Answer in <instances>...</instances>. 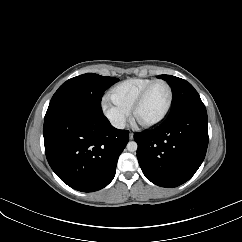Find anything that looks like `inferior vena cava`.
Listing matches in <instances>:
<instances>
[{
	"instance_id": "obj_1",
	"label": "inferior vena cava",
	"mask_w": 242,
	"mask_h": 242,
	"mask_svg": "<svg viewBox=\"0 0 242 242\" xmlns=\"http://www.w3.org/2000/svg\"><path fill=\"white\" fill-rule=\"evenodd\" d=\"M112 125L117 128V129H124L125 128V123L122 120H115L112 121Z\"/></svg>"
}]
</instances>
